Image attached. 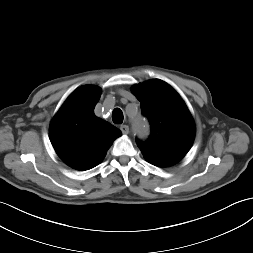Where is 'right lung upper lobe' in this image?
Here are the masks:
<instances>
[{"label":"right lung upper lobe","instance_id":"obj_1","mask_svg":"<svg viewBox=\"0 0 253 253\" xmlns=\"http://www.w3.org/2000/svg\"><path fill=\"white\" fill-rule=\"evenodd\" d=\"M99 87L77 88L50 125V140L58 156L70 167L88 170L98 165L121 131L95 116Z\"/></svg>","mask_w":253,"mask_h":253}]
</instances>
